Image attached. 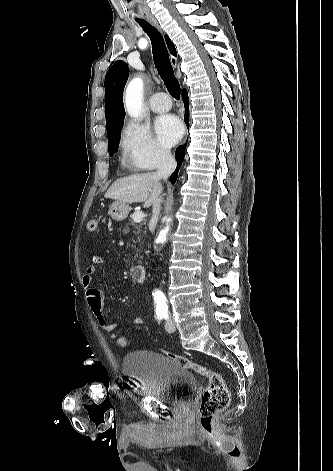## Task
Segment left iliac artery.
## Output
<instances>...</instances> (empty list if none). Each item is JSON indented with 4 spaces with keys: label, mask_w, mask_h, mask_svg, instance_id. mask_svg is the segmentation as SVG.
<instances>
[{
    "label": "left iliac artery",
    "mask_w": 333,
    "mask_h": 471,
    "mask_svg": "<svg viewBox=\"0 0 333 471\" xmlns=\"http://www.w3.org/2000/svg\"><path fill=\"white\" fill-rule=\"evenodd\" d=\"M163 318H165V319H168V318H169V315H168L167 312L163 313Z\"/></svg>",
    "instance_id": "1"
}]
</instances>
